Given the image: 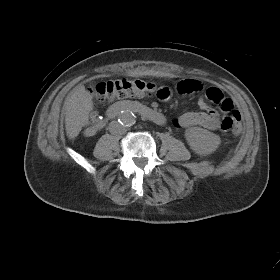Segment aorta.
Returning a JSON list of instances; mask_svg holds the SVG:
<instances>
[{
    "label": "aorta",
    "mask_w": 280,
    "mask_h": 280,
    "mask_svg": "<svg viewBox=\"0 0 280 280\" xmlns=\"http://www.w3.org/2000/svg\"><path fill=\"white\" fill-rule=\"evenodd\" d=\"M118 119L120 124L130 126L135 121V115L131 111H122Z\"/></svg>",
    "instance_id": "aorta-1"
}]
</instances>
